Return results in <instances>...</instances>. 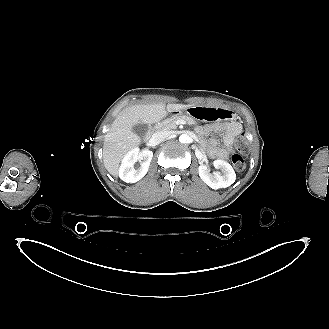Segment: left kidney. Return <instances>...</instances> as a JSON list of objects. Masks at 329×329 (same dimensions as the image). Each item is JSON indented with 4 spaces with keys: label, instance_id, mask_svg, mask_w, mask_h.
<instances>
[{
    "label": "left kidney",
    "instance_id": "left-kidney-1",
    "mask_svg": "<svg viewBox=\"0 0 329 329\" xmlns=\"http://www.w3.org/2000/svg\"><path fill=\"white\" fill-rule=\"evenodd\" d=\"M216 169H220L222 173H210L205 165L198 168L200 178L212 189L226 188L233 184L236 180V174L232 166L224 160H215L213 162Z\"/></svg>",
    "mask_w": 329,
    "mask_h": 329
}]
</instances>
